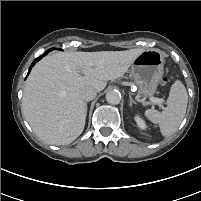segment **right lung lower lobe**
I'll use <instances>...</instances> for the list:
<instances>
[{
  "label": "right lung lower lobe",
  "mask_w": 201,
  "mask_h": 201,
  "mask_svg": "<svg viewBox=\"0 0 201 201\" xmlns=\"http://www.w3.org/2000/svg\"><path fill=\"white\" fill-rule=\"evenodd\" d=\"M48 52H49V50L46 51L42 56L36 58V59L33 61V63L31 64V66H30V68H29L28 74H29V72L31 71V68L35 65V63L38 62V61H39L43 56H45Z\"/></svg>",
  "instance_id": "1"
}]
</instances>
